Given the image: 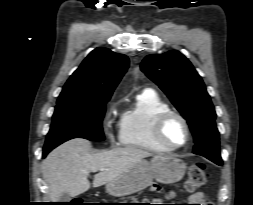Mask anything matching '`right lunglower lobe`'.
Masks as SVG:
<instances>
[{
    "mask_svg": "<svg viewBox=\"0 0 253 205\" xmlns=\"http://www.w3.org/2000/svg\"><path fill=\"white\" fill-rule=\"evenodd\" d=\"M52 149H44L43 151V158L46 157V155L51 151Z\"/></svg>",
    "mask_w": 253,
    "mask_h": 205,
    "instance_id": "98d812e1",
    "label": "right lung lower lobe"
}]
</instances>
